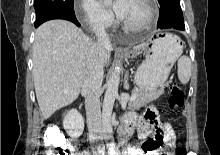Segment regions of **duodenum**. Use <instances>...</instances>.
I'll return each instance as SVG.
<instances>
[{
    "mask_svg": "<svg viewBox=\"0 0 220 155\" xmlns=\"http://www.w3.org/2000/svg\"><path fill=\"white\" fill-rule=\"evenodd\" d=\"M118 133H119V136H120L121 138H123V139L127 138L128 133H129V127H128V125L126 124L125 121H124V123L119 127Z\"/></svg>",
    "mask_w": 220,
    "mask_h": 155,
    "instance_id": "1",
    "label": "duodenum"
}]
</instances>
